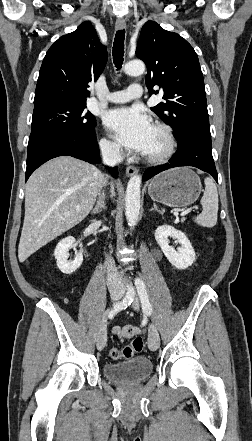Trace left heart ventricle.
<instances>
[{"label":"left heart ventricle","mask_w":252,"mask_h":441,"mask_svg":"<svg viewBox=\"0 0 252 441\" xmlns=\"http://www.w3.org/2000/svg\"><path fill=\"white\" fill-rule=\"evenodd\" d=\"M166 147L165 139L160 131L156 128L153 129V135L150 145L145 154L154 155L161 153Z\"/></svg>","instance_id":"obj_1"}]
</instances>
